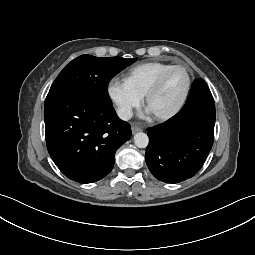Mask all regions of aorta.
Masks as SVG:
<instances>
[{
  "instance_id": "762f6f07",
  "label": "aorta",
  "mask_w": 255,
  "mask_h": 255,
  "mask_svg": "<svg viewBox=\"0 0 255 255\" xmlns=\"http://www.w3.org/2000/svg\"><path fill=\"white\" fill-rule=\"evenodd\" d=\"M134 143L139 148H146L149 144V138L147 134L139 132L134 135Z\"/></svg>"
}]
</instances>
